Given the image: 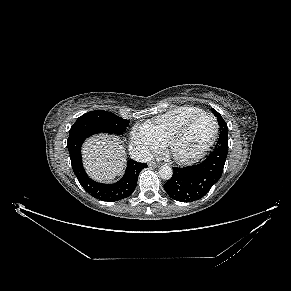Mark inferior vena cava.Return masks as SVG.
I'll return each instance as SVG.
<instances>
[{
    "label": "inferior vena cava",
    "mask_w": 291,
    "mask_h": 291,
    "mask_svg": "<svg viewBox=\"0 0 291 291\" xmlns=\"http://www.w3.org/2000/svg\"><path fill=\"white\" fill-rule=\"evenodd\" d=\"M130 155L137 162L146 163L152 160L150 151L140 147H130Z\"/></svg>",
    "instance_id": "1"
}]
</instances>
